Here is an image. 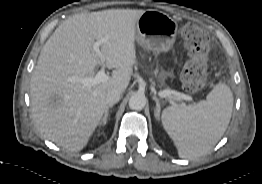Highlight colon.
Segmentation results:
<instances>
[{"label": "colon", "mask_w": 262, "mask_h": 184, "mask_svg": "<svg viewBox=\"0 0 262 184\" xmlns=\"http://www.w3.org/2000/svg\"><path fill=\"white\" fill-rule=\"evenodd\" d=\"M181 36L188 55L181 70V81L186 91L195 93L206 85L210 37L204 29L192 23L182 26Z\"/></svg>", "instance_id": "1"}]
</instances>
